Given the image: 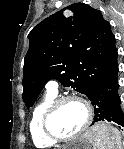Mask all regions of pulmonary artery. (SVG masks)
I'll list each match as a JSON object with an SVG mask.
<instances>
[{
	"label": "pulmonary artery",
	"instance_id": "obj_1",
	"mask_svg": "<svg viewBox=\"0 0 124 149\" xmlns=\"http://www.w3.org/2000/svg\"><path fill=\"white\" fill-rule=\"evenodd\" d=\"M46 89L48 92L57 93L58 92V83L54 80H51L47 83Z\"/></svg>",
	"mask_w": 124,
	"mask_h": 149
}]
</instances>
